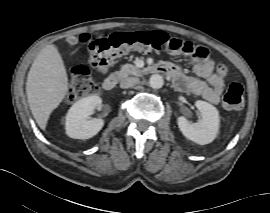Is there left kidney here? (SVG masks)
Masks as SVG:
<instances>
[{
    "instance_id": "5707ae66",
    "label": "left kidney",
    "mask_w": 270,
    "mask_h": 213,
    "mask_svg": "<svg viewBox=\"0 0 270 213\" xmlns=\"http://www.w3.org/2000/svg\"><path fill=\"white\" fill-rule=\"evenodd\" d=\"M202 119L193 123L181 116L177 119L178 127L182 134L189 140L205 145L211 143L219 131V112L208 102L198 100L195 102Z\"/></svg>"
}]
</instances>
